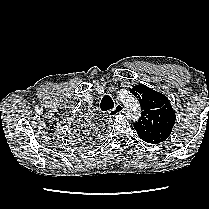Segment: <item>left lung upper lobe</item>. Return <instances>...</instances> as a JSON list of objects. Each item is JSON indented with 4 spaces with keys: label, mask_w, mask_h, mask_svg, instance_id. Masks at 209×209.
<instances>
[{
    "label": "left lung upper lobe",
    "mask_w": 209,
    "mask_h": 209,
    "mask_svg": "<svg viewBox=\"0 0 209 209\" xmlns=\"http://www.w3.org/2000/svg\"><path fill=\"white\" fill-rule=\"evenodd\" d=\"M130 91L138 98L142 109L141 118L134 123L138 136L144 141H165L176 120L168 98L143 84Z\"/></svg>",
    "instance_id": "left-lung-upper-lobe-1"
}]
</instances>
